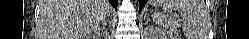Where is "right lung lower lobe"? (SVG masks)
<instances>
[{
  "mask_svg": "<svg viewBox=\"0 0 249 39\" xmlns=\"http://www.w3.org/2000/svg\"><path fill=\"white\" fill-rule=\"evenodd\" d=\"M115 9H117V0H110Z\"/></svg>",
  "mask_w": 249,
  "mask_h": 39,
  "instance_id": "obj_1",
  "label": "right lung lower lobe"
}]
</instances>
